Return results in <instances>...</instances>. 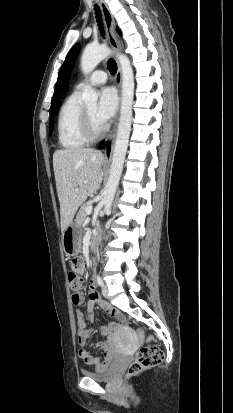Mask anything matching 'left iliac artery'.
<instances>
[{
    "instance_id": "obj_1",
    "label": "left iliac artery",
    "mask_w": 233,
    "mask_h": 413,
    "mask_svg": "<svg viewBox=\"0 0 233 413\" xmlns=\"http://www.w3.org/2000/svg\"><path fill=\"white\" fill-rule=\"evenodd\" d=\"M96 279H97L98 285L103 286V281H102V278L100 277V275H97Z\"/></svg>"
}]
</instances>
